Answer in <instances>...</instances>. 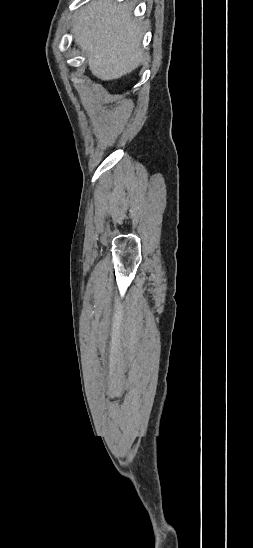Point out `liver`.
I'll list each match as a JSON object with an SVG mask.
<instances>
[{"label": "liver", "instance_id": "obj_1", "mask_svg": "<svg viewBox=\"0 0 253 548\" xmlns=\"http://www.w3.org/2000/svg\"><path fill=\"white\" fill-rule=\"evenodd\" d=\"M133 6L93 0L75 18L74 39L85 53L93 76L102 81L134 71L143 60L142 24L132 17Z\"/></svg>", "mask_w": 253, "mask_h": 548}]
</instances>
